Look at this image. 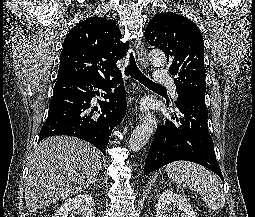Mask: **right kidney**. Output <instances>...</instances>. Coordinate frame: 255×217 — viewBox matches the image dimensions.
<instances>
[{
  "mask_svg": "<svg viewBox=\"0 0 255 217\" xmlns=\"http://www.w3.org/2000/svg\"><path fill=\"white\" fill-rule=\"evenodd\" d=\"M70 213H81V217H95V202L89 194H79L66 199L54 217H68Z\"/></svg>",
  "mask_w": 255,
  "mask_h": 217,
  "instance_id": "right-kidney-1",
  "label": "right kidney"
}]
</instances>
